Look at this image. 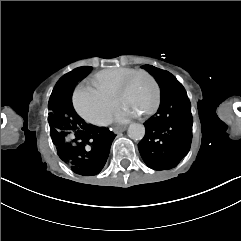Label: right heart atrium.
<instances>
[{
	"mask_svg": "<svg viewBox=\"0 0 241 241\" xmlns=\"http://www.w3.org/2000/svg\"><path fill=\"white\" fill-rule=\"evenodd\" d=\"M81 86L82 83L77 85L72 96L76 111L91 124L105 125L114 110L113 94L109 91L101 92L99 87L94 84H89L88 87ZM103 95L108 98L106 99Z\"/></svg>",
	"mask_w": 241,
	"mask_h": 241,
	"instance_id": "obj_1",
	"label": "right heart atrium"
}]
</instances>
